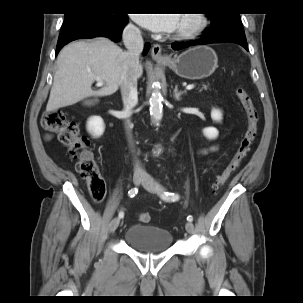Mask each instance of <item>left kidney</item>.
<instances>
[{"mask_svg": "<svg viewBox=\"0 0 303 303\" xmlns=\"http://www.w3.org/2000/svg\"><path fill=\"white\" fill-rule=\"evenodd\" d=\"M211 118L213 121L219 122L222 119V113L220 110L213 108L211 110ZM203 134L208 139H214L218 136V130L215 127H207L203 129Z\"/></svg>", "mask_w": 303, "mask_h": 303, "instance_id": "left-kidney-1", "label": "left kidney"}]
</instances>
